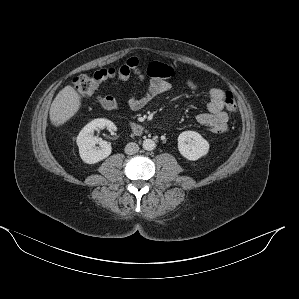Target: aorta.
<instances>
[{
  "label": "aorta",
  "mask_w": 299,
  "mask_h": 299,
  "mask_svg": "<svg viewBox=\"0 0 299 299\" xmlns=\"http://www.w3.org/2000/svg\"><path fill=\"white\" fill-rule=\"evenodd\" d=\"M156 147L155 142L152 139H145L143 141V148L147 151H152Z\"/></svg>",
  "instance_id": "762f6f07"
}]
</instances>
